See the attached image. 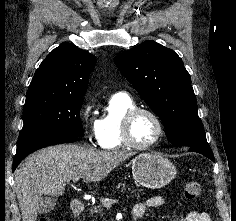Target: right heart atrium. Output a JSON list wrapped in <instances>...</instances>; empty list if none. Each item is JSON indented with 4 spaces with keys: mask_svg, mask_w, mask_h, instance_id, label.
Wrapping results in <instances>:
<instances>
[{
    "mask_svg": "<svg viewBox=\"0 0 236 221\" xmlns=\"http://www.w3.org/2000/svg\"><path fill=\"white\" fill-rule=\"evenodd\" d=\"M93 109V103L88 101L80 112V118L88 141L91 144L96 145L99 144V129L97 123L98 120L94 117Z\"/></svg>",
    "mask_w": 236,
    "mask_h": 221,
    "instance_id": "1",
    "label": "right heart atrium"
}]
</instances>
